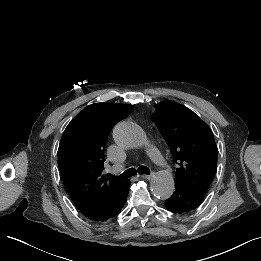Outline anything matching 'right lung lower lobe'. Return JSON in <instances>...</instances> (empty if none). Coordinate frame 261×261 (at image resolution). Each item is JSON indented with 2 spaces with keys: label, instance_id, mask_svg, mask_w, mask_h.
Segmentation results:
<instances>
[{
  "label": "right lung lower lobe",
  "instance_id": "right-lung-lower-lobe-1",
  "mask_svg": "<svg viewBox=\"0 0 261 261\" xmlns=\"http://www.w3.org/2000/svg\"><path fill=\"white\" fill-rule=\"evenodd\" d=\"M129 182L125 189L117 193L111 200H104L96 205L87 217L94 221H106L120 213L128 195Z\"/></svg>",
  "mask_w": 261,
  "mask_h": 261
}]
</instances>
